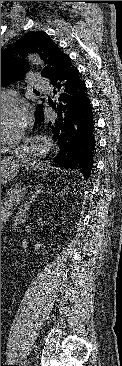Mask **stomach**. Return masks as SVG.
Masks as SVG:
<instances>
[{
	"instance_id": "stomach-1",
	"label": "stomach",
	"mask_w": 122,
	"mask_h": 366,
	"mask_svg": "<svg viewBox=\"0 0 122 366\" xmlns=\"http://www.w3.org/2000/svg\"><path fill=\"white\" fill-rule=\"evenodd\" d=\"M34 143H37V141L33 142L31 148L35 146ZM18 167L19 159L17 156L13 155L1 158V184H5L9 182L13 177H15Z\"/></svg>"
}]
</instances>
